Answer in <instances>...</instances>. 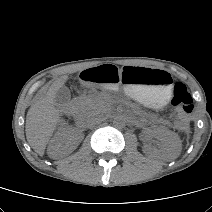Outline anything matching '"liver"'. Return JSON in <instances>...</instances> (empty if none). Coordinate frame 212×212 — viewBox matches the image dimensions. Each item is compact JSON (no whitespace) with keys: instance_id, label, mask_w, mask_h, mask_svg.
Returning a JSON list of instances; mask_svg holds the SVG:
<instances>
[{"instance_id":"6515ba94","label":"liver","mask_w":212,"mask_h":212,"mask_svg":"<svg viewBox=\"0 0 212 212\" xmlns=\"http://www.w3.org/2000/svg\"><path fill=\"white\" fill-rule=\"evenodd\" d=\"M67 80V75L55 80L46 95L36 101L27 112L26 138L30 146L40 156L44 155L47 142L59 121V110L55 106L56 92Z\"/></svg>"}]
</instances>
